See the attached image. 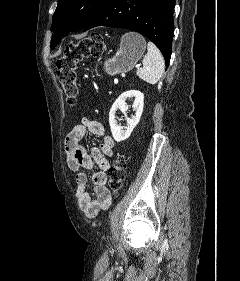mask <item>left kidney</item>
I'll return each instance as SVG.
<instances>
[{
	"label": "left kidney",
	"mask_w": 240,
	"mask_h": 281,
	"mask_svg": "<svg viewBox=\"0 0 240 281\" xmlns=\"http://www.w3.org/2000/svg\"><path fill=\"white\" fill-rule=\"evenodd\" d=\"M133 97L135 99L132 108L135 111V115L132 116L131 118H128L126 116L127 126L125 130H123V128L120 125H118L117 120L115 119V113L118 109L126 113L129 106L126 104L125 101ZM143 106H144V95L142 92L137 90L126 91L116 99L109 112L110 129L115 141L121 142L129 138L133 129L136 127V125L140 120V117L143 112Z\"/></svg>",
	"instance_id": "1"
}]
</instances>
